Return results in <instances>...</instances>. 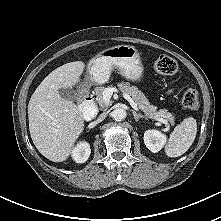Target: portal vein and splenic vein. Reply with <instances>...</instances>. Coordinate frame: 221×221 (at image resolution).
I'll list each match as a JSON object with an SVG mask.
<instances>
[{"label": "portal vein and splenic vein", "mask_w": 221, "mask_h": 221, "mask_svg": "<svg viewBox=\"0 0 221 221\" xmlns=\"http://www.w3.org/2000/svg\"><path fill=\"white\" fill-rule=\"evenodd\" d=\"M118 92H119V91H118V89H116V88H107V89H105V91H104V93H103V99H104V101L108 103V102L110 101V99H111L113 93H118ZM122 95H123V97L130 103L131 107H132L134 110H136V111L139 110V109H138V106L136 105V103L133 101V99L131 98V96H130L129 94L123 92ZM152 118H153L154 120H156V121H159V122L165 124V125H169V124H168V121H167L166 119L162 118V117L155 116V117H152Z\"/></svg>", "instance_id": "obj_1"}]
</instances>
